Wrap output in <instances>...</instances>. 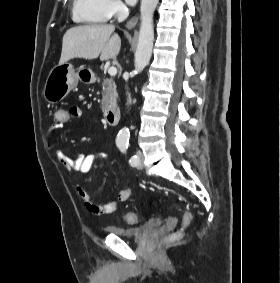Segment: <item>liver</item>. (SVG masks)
<instances>
[{
	"label": "liver",
	"instance_id": "liver-1",
	"mask_svg": "<svg viewBox=\"0 0 280 283\" xmlns=\"http://www.w3.org/2000/svg\"><path fill=\"white\" fill-rule=\"evenodd\" d=\"M111 24H90L73 27L63 36L59 64L74 58L101 61L116 59L121 49V39Z\"/></svg>",
	"mask_w": 280,
	"mask_h": 283
}]
</instances>
